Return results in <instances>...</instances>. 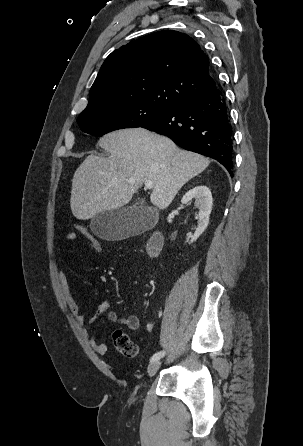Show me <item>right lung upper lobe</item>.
Segmentation results:
<instances>
[{
    "label": "right lung upper lobe",
    "mask_w": 303,
    "mask_h": 446,
    "mask_svg": "<svg viewBox=\"0 0 303 446\" xmlns=\"http://www.w3.org/2000/svg\"><path fill=\"white\" fill-rule=\"evenodd\" d=\"M216 86L208 56L187 34L163 30L113 51L103 63L85 110L124 102L180 103Z\"/></svg>",
    "instance_id": "obj_1"
}]
</instances>
